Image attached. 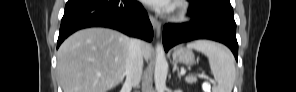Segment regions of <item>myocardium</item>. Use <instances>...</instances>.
I'll return each mask as SVG.
<instances>
[{"label": "myocardium", "mask_w": 296, "mask_h": 92, "mask_svg": "<svg viewBox=\"0 0 296 92\" xmlns=\"http://www.w3.org/2000/svg\"><path fill=\"white\" fill-rule=\"evenodd\" d=\"M186 15V8L182 4H178L177 12L175 15L176 19H183Z\"/></svg>", "instance_id": "f54148a6"}]
</instances>
